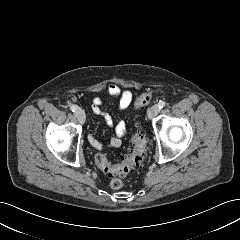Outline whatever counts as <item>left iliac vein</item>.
Returning a JSON list of instances; mask_svg holds the SVG:
<instances>
[{"label": "left iliac vein", "mask_w": 240, "mask_h": 240, "mask_svg": "<svg viewBox=\"0 0 240 240\" xmlns=\"http://www.w3.org/2000/svg\"><path fill=\"white\" fill-rule=\"evenodd\" d=\"M160 109L158 105H154L152 106L149 110H148V117L150 119L154 118L155 116L158 115Z\"/></svg>", "instance_id": "1"}]
</instances>
